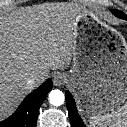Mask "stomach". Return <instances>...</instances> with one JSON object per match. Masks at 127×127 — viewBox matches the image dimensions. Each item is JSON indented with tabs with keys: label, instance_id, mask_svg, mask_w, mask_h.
Segmentation results:
<instances>
[{
	"label": "stomach",
	"instance_id": "0dacf381",
	"mask_svg": "<svg viewBox=\"0 0 127 127\" xmlns=\"http://www.w3.org/2000/svg\"><path fill=\"white\" fill-rule=\"evenodd\" d=\"M68 84L88 115L112 111L127 99V52L110 49L101 34L81 24Z\"/></svg>",
	"mask_w": 127,
	"mask_h": 127
}]
</instances>
